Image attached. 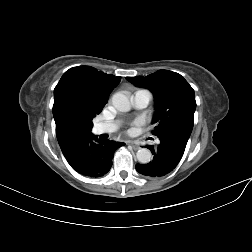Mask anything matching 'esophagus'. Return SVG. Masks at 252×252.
<instances>
[{
  "mask_svg": "<svg viewBox=\"0 0 252 252\" xmlns=\"http://www.w3.org/2000/svg\"><path fill=\"white\" fill-rule=\"evenodd\" d=\"M128 144L131 145V147H132L134 150L139 149V146H138L135 142H128Z\"/></svg>",
  "mask_w": 252,
  "mask_h": 252,
  "instance_id": "obj_1",
  "label": "esophagus"
}]
</instances>
